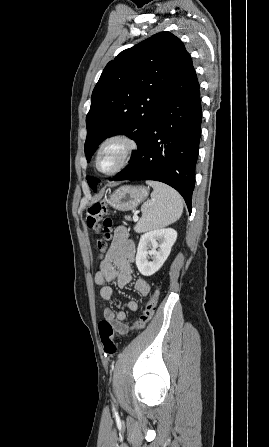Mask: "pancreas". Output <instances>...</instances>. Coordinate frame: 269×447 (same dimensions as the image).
I'll list each match as a JSON object with an SVG mask.
<instances>
[{
    "label": "pancreas",
    "mask_w": 269,
    "mask_h": 447,
    "mask_svg": "<svg viewBox=\"0 0 269 447\" xmlns=\"http://www.w3.org/2000/svg\"><path fill=\"white\" fill-rule=\"evenodd\" d=\"M125 220H130L129 216H125Z\"/></svg>",
    "instance_id": "obj_1"
}]
</instances>
